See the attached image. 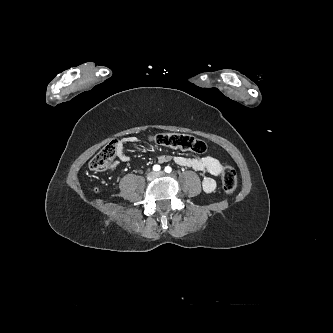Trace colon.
Listing matches in <instances>:
<instances>
[{
  "instance_id": "5ec220e1",
  "label": "colon",
  "mask_w": 333,
  "mask_h": 333,
  "mask_svg": "<svg viewBox=\"0 0 333 333\" xmlns=\"http://www.w3.org/2000/svg\"><path fill=\"white\" fill-rule=\"evenodd\" d=\"M151 140L161 146L189 151L196 154H203L207 150V145L204 141L188 134L161 133L152 136ZM117 149L118 146L116 141L107 144L90 161V169L94 171H103L110 168L113 165ZM221 175L224 191L227 194H232L237 187L236 170L229 164H223Z\"/></svg>"
}]
</instances>
